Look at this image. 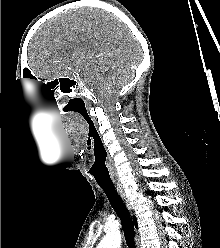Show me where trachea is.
<instances>
[{
  "label": "trachea",
  "mask_w": 220,
  "mask_h": 248,
  "mask_svg": "<svg viewBox=\"0 0 220 248\" xmlns=\"http://www.w3.org/2000/svg\"><path fill=\"white\" fill-rule=\"evenodd\" d=\"M104 193L106 194L111 206L121 220L124 230L125 240L128 248H136L135 245V232L130 214L124 204L122 198L118 194L113 183L99 184Z\"/></svg>",
  "instance_id": "trachea-1"
}]
</instances>
